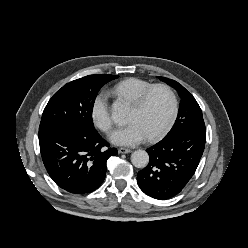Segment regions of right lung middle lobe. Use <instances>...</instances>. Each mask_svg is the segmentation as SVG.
Instances as JSON below:
<instances>
[{
    "mask_svg": "<svg viewBox=\"0 0 248 248\" xmlns=\"http://www.w3.org/2000/svg\"><path fill=\"white\" fill-rule=\"evenodd\" d=\"M117 77L88 75L57 91L46 105L39 126V139L61 127L95 130L92 110L100 88Z\"/></svg>",
    "mask_w": 248,
    "mask_h": 248,
    "instance_id": "obj_1",
    "label": "right lung middle lobe"
}]
</instances>
